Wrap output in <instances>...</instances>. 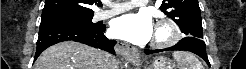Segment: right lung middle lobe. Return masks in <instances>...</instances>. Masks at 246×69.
I'll list each match as a JSON object with an SVG mask.
<instances>
[{
  "mask_svg": "<svg viewBox=\"0 0 246 69\" xmlns=\"http://www.w3.org/2000/svg\"><path fill=\"white\" fill-rule=\"evenodd\" d=\"M93 14H60L45 16L41 19L40 25L45 24H66V25H81L93 27L96 24L92 23Z\"/></svg>",
  "mask_w": 246,
  "mask_h": 69,
  "instance_id": "obj_1",
  "label": "right lung middle lobe"
}]
</instances>
